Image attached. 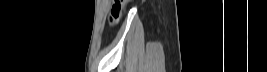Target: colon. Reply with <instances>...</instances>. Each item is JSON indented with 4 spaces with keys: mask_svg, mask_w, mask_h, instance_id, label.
Returning <instances> with one entry per match:
<instances>
[{
    "mask_svg": "<svg viewBox=\"0 0 267 72\" xmlns=\"http://www.w3.org/2000/svg\"><path fill=\"white\" fill-rule=\"evenodd\" d=\"M113 7L111 10V22L115 23L119 20L125 5L129 2V0H114Z\"/></svg>",
    "mask_w": 267,
    "mask_h": 72,
    "instance_id": "5ec220e1",
    "label": "colon"
}]
</instances>
